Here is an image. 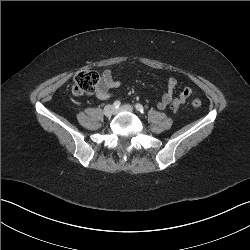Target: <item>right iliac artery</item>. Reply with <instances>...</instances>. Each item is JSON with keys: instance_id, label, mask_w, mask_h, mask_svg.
Segmentation results:
<instances>
[{"instance_id": "82829eb1", "label": "right iliac artery", "mask_w": 250, "mask_h": 250, "mask_svg": "<svg viewBox=\"0 0 250 250\" xmlns=\"http://www.w3.org/2000/svg\"><path fill=\"white\" fill-rule=\"evenodd\" d=\"M121 105V102L116 100L114 103H113V107L114 108H119V106Z\"/></svg>"}]
</instances>
